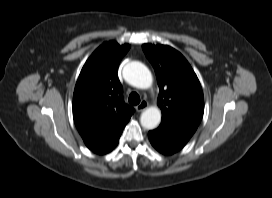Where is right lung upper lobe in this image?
<instances>
[{"label": "right lung upper lobe", "instance_id": "1", "mask_svg": "<svg viewBox=\"0 0 272 198\" xmlns=\"http://www.w3.org/2000/svg\"><path fill=\"white\" fill-rule=\"evenodd\" d=\"M128 44L103 43L83 66L73 94V118L86 146L103 145L126 124L134 109L124 103L117 70Z\"/></svg>", "mask_w": 272, "mask_h": 198}]
</instances>
